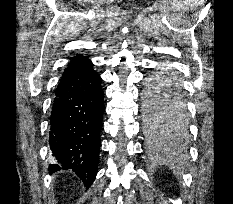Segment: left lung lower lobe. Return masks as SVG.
Returning <instances> with one entry per match:
<instances>
[{"instance_id": "obj_1", "label": "left lung lower lobe", "mask_w": 233, "mask_h": 204, "mask_svg": "<svg viewBox=\"0 0 233 204\" xmlns=\"http://www.w3.org/2000/svg\"><path fill=\"white\" fill-rule=\"evenodd\" d=\"M156 76H159L162 79H167V80H170V81H174V82L179 84L178 79L174 75H172L171 73H161V74H158ZM150 130H157V131L165 130V131H167L169 133V135H168L169 137H170V135L181 131L180 129H177V128L173 127V126H159L157 128H153V129H150Z\"/></svg>"}]
</instances>
